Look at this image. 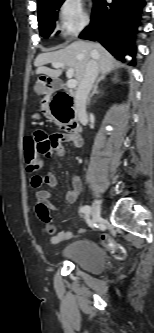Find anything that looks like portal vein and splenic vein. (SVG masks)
Segmentation results:
<instances>
[{
  "instance_id": "obj_1",
  "label": "portal vein and splenic vein",
  "mask_w": 154,
  "mask_h": 333,
  "mask_svg": "<svg viewBox=\"0 0 154 333\" xmlns=\"http://www.w3.org/2000/svg\"><path fill=\"white\" fill-rule=\"evenodd\" d=\"M52 67L53 68H61V67H65V64L64 63H52ZM66 75L69 78V80L67 81V87L68 88H75L77 86L78 82H77V80L72 79V77L74 75V69L69 68Z\"/></svg>"
}]
</instances>
